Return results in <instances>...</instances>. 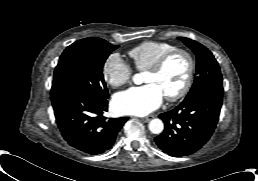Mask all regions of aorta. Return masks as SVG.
I'll list each match as a JSON object with an SVG mask.
<instances>
[{
  "mask_svg": "<svg viewBox=\"0 0 258 181\" xmlns=\"http://www.w3.org/2000/svg\"><path fill=\"white\" fill-rule=\"evenodd\" d=\"M133 82L135 84H140L142 82V76L141 74H135L133 76ZM149 130L154 133V134H160L163 129H164V124L162 122V120L156 118V119H152L150 122H149Z\"/></svg>",
  "mask_w": 258,
  "mask_h": 181,
  "instance_id": "762f6f07",
  "label": "aorta"
}]
</instances>
